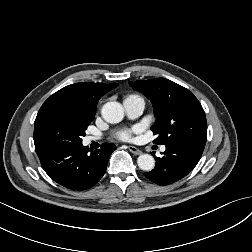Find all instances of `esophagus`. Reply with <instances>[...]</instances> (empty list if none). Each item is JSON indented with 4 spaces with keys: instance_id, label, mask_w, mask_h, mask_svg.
<instances>
[{
    "instance_id": "1",
    "label": "esophagus",
    "mask_w": 252,
    "mask_h": 252,
    "mask_svg": "<svg viewBox=\"0 0 252 252\" xmlns=\"http://www.w3.org/2000/svg\"><path fill=\"white\" fill-rule=\"evenodd\" d=\"M127 148L129 149V151H130L131 153H133V154H135V155H140V154H142V151L139 150V149H138L137 147H135V146H128Z\"/></svg>"
}]
</instances>
